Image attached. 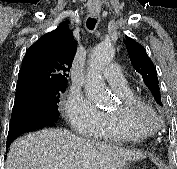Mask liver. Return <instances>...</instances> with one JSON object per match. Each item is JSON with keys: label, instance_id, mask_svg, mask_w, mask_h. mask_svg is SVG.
<instances>
[{"label": "liver", "instance_id": "1", "mask_svg": "<svg viewBox=\"0 0 177 169\" xmlns=\"http://www.w3.org/2000/svg\"><path fill=\"white\" fill-rule=\"evenodd\" d=\"M144 155L85 139L62 129H43L15 140L5 169H124Z\"/></svg>", "mask_w": 177, "mask_h": 169}]
</instances>
